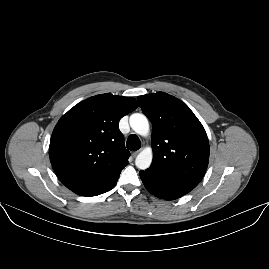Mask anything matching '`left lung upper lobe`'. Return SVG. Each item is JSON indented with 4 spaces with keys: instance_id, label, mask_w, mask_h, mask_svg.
Instances as JSON below:
<instances>
[{
    "instance_id": "5c2ea615",
    "label": "left lung upper lobe",
    "mask_w": 269,
    "mask_h": 269,
    "mask_svg": "<svg viewBox=\"0 0 269 269\" xmlns=\"http://www.w3.org/2000/svg\"><path fill=\"white\" fill-rule=\"evenodd\" d=\"M137 100L152 123L153 161L147 171L199 183L209 161V142L200 121L185 103L165 92Z\"/></svg>"
}]
</instances>
